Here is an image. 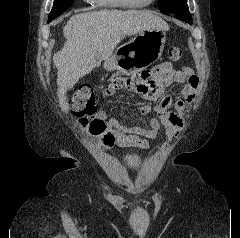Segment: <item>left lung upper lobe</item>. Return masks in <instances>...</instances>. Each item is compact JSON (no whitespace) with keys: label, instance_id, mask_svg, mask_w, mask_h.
Here are the masks:
<instances>
[{"label":"left lung upper lobe","instance_id":"left-lung-upper-lobe-1","mask_svg":"<svg viewBox=\"0 0 240 238\" xmlns=\"http://www.w3.org/2000/svg\"><path fill=\"white\" fill-rule=\"evenodd\" d=\"M161 11L170 12L176 17L192 20L186 0H159Z\"/></svg>","mask_w":240,"mask_h":238}]
</instances>
